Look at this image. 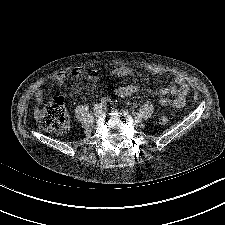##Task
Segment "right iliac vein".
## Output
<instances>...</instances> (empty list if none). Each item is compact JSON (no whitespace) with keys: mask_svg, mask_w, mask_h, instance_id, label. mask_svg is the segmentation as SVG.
<instances>
[{"mask_svg":"<svg viewBox=\"0 0 225 225\" xmlns=\"http://www.w3.org/2000/svg\"><path fill=\"white\" fill-rule=\"evenodd\" d=\"M102 112H103V108L101 105L95 106V108L93 110L94 116L99 117V116H101Z\"/></svg>","mask_w":225,"mask_h":225,"instance_id":"63e3f726","label":"right iliac vein"}]
</instances>
